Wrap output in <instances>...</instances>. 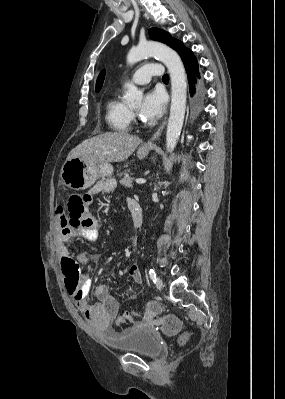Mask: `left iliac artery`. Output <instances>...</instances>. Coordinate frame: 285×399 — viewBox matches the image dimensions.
Instances as JSON below:
<instances>
[{
	"mask_svg": "<svg viewBox=\"0 0 285 399\" xmlns=\"http://www.w3.org/2000/svg\"><path fill=\"white\" fill-rule=\"evenodd\" d=\"M149 276H150V279H151L154 283H156L157 277H156V273H155L154 269H150V270H149Z\"/></svg>",
	"mask_w": 285,
	"mask_h": 399,
	"instance_id": "1",
	"label": "left iliac artery"
}]
</instances>
